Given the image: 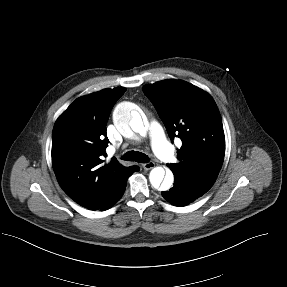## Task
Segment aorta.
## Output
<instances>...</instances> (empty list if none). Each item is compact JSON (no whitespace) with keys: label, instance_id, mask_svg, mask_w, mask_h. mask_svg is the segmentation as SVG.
I'll list each match as a JSON object with an SVG mask.
<instances>
[{"label":"aorta","instance_id":"762f6f07","mask_svg":"<svg viewBox=\"0 0 287 287\" xmlns=\"http://www.w3.org/2000/svg\"><path fill=\"white\" fill-rule=\"evenodd\" d=\"M113 120L116 127L121 131L131 128L141 136L146 134L147 129L140 113L130 109L127 105H120L114 110ZM149 180L155 189L167 191L173 185L174 176L171 171H167L165 175V170L162 167H155L150 172Z\"/></svg>","mask_w":287,"mask_h":287}]
</instances>
